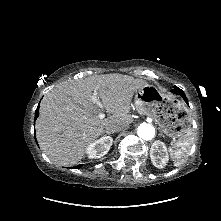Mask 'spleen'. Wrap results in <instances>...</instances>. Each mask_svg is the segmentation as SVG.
<instances>
[{
	"mask_svg": "<svg viewBox=\"0 0 221 221\" xmlns=\"http://www.w3.org/2000/svg\"><path fill=\"white\" fill-rule=\"evenodd\" d=\"M193 144L192 130L190 129L187 135L178 140L172 147L169 148L170 156L173 160L174 166L181 165L190 154Z\"/></svg>",
	"mask_w": 221,
	"mask_h": 221,
	"instance_id": "obj_1",
	"label": "spleen"
}]
</instances>
